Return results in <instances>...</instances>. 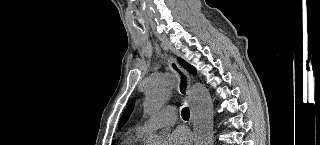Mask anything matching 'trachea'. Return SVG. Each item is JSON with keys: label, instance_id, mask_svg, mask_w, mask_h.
I'll return each instance as SVG.
<instances>
[{"label": "trachea", "instance_id": "3493384b", "mask_svg": "<svg viewBox=\"0 0 320 145\" xmlns=\"http://www.w3.org/2000/svg\"><path fill=\"white\" fill-rule=\"evenodd\" d=\"M181 115H182V118L185 119V120H188L189 119V109L188 108H183L182 109V112H181Z\"/></svg>", "mask_w": 320, "mask_h": 145}]
</instances>
